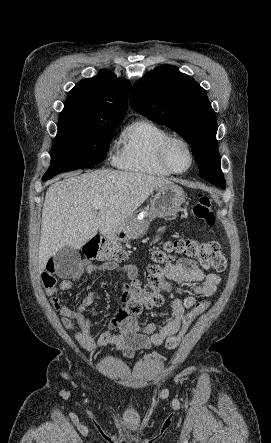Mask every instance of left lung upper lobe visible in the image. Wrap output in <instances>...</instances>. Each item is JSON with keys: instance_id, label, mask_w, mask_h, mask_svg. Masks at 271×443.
Listing matches in <instances>:
<instances>
[{"instance_id": "obj_1", "label": "left lung upper lobe", "mask_w": 271, "mask_h": 443, "mask_svg": "<svg viewBox=\"0 0 271 443\" xmlns=\"http://www.w3.org/2000/svg\"><path fill=\"white\" fill-rule=\"evenodd\" d=\"M130 101L140 114L176 130L190 144L199 176L225 189L216 114L206 91L192 77L175 66H160L134 84Z\"/></svg>"}]
</instances>
